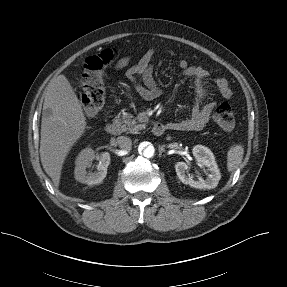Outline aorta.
I'll return each instance as SVG.
<instances>
[{"label": "aorta", "mask_w": 287, "mask_h": 287, "mask_svg": "<svg viewBox=\"0 0 287 287\" xmlns=\"http://www.w3.org/2000/svg\"><path fill=\"white\" fill-rule=\"evenodd\" d=\"M138 151L142 156L151 158L154 156L155 148L151 142L143 141L139 144Z\"/></svg>", "instance_id": "obj_1"}]
</instances>
